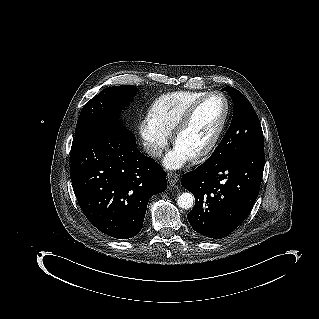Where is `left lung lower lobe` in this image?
<instances>
[{"instance_id": "0a47b994", "label": "left lung lower lobe", "mask_w": 319, "mask_h": 319, "mask_svg": "<svg viewBox=\"0 0 319 319\" xmlns=\"http://www.w3.org/2000/svg\"><path fill=\"white\" fill-rule=\"evenodd\" d=\"M264 164V148H258L219 163L205 161L183 175L182 186L196 200L187 218L200 237L224 238L245 220L258 196Z\"/></svg>"}]
</instances>
